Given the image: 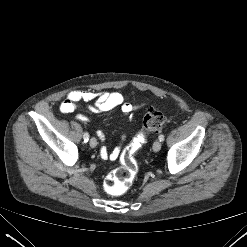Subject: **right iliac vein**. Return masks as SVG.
Listing matches in <instances>:
<instances>
[{
	"label": "right iliac vein",
	"mask_w": 247,
	"mask_h": 247,
	"mask_svg": "<svg viewBox=\"0 0 247 247\" xmlns=\"http://www.w3.org/2000/svg\"><path fill=\"white\" fill-rule=\"evenodd\" d=\"M89 144H90V146H91L92 148H95V147L97 146V140H96L94 137H92V138L90 139Z\"/></svg>",
	"instance_id": "obj_1"
}]
</instances>
